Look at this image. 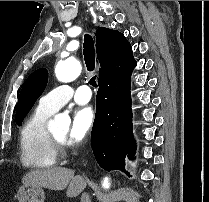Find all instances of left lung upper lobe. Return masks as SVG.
Returning <instances> with one entry per match:
<instances>
[{
	"label": "left lung upper lobe",
	"mask_w": 209,
	"mask_h": 202,
	"mask_svg": "<svg viewBox=\"0 0 209 202\" xmlns=\"http://www.w3.org/2000/svg\"><path fill=\"white\" fill-rule=\"evenodd\" d=\"M48 71L45 68L34 71L26 80L20 95L16 109L15 120L21 125L24 117L30 111L36 100L46 88Z\"/></svg>",
	"instance_id": "5c2ea615"
}]
</instances>
